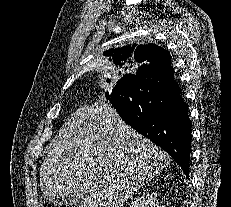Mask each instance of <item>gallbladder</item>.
Instances as JSON below:
<instances>
[{
    "label": "gallbladder",
    "instance_id": "1",
    "mask_svg": "<svg viewBox=\"0 0 231 207\" xmlns=\"http://www.w3.org/2000/svg\"><path fill=\"white\" fill-rule=\"evenodd\" d=\"M63 200H64V202H65L66 204H68V205H70V206H72V207H76L77 204H78V200H77L74 196H72V195H70V196H65V197L63 198Z\"/></svg>",
    "mask_w": 231,
    "mask_h": 207
}]
</instances>
